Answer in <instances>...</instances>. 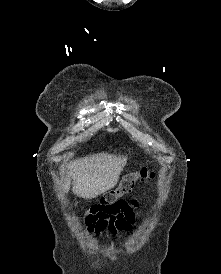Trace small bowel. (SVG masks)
Wrapping results in <instances>:
<instances>
[{"label": "small bowel", "instance_id": "1", "mask_svg": "<svg viewBox=\"0 0 221 274\" xmlns=\"http://www.w3.org/2000/svg\"><path fill=\"white\" fill-rule=\"evenodd\" d=\"M135 201L129 203L118 200L112 204L93 205L85 214L83 227L88 234L109 237H117L120 234H130L135 225Z\"/></svg>", "mask_w": 221, "mask_h": 274}]
</instances>
